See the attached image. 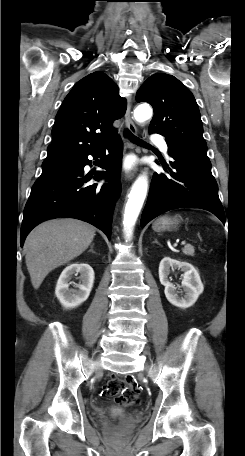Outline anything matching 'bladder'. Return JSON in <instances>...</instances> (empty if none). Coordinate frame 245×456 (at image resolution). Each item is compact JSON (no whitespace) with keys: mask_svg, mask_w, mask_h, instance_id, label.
I'll use <instances>...</instances> for the list:
<instances>
[{"mask_svg":"<svg viewBox=\"0 0 245 456\" xmlns=\"http://www.w3.org/2000/svg\"><path fill=\"white\" fill-rule=\"evenodd\" d=\"M123 411H124V410H123L122 408H118V407H113V408H111V409L109 410V412H110L111 414H113V415H120V414L123 413ZM104 413H105V410H103V409H100V410H99V414H100V415H102V414H104Z\"/></svg>","mask_w":245,"mask_h":456,"instance_id":"31cf9c89","label":"bladder"}]
</instances>
